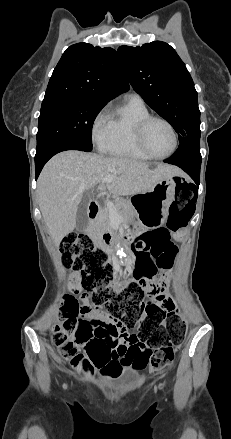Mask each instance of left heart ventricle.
<instances>
[{
	"label": "left heart ventricle",
	"instance_id": "left-heart-ventricle-1",
	"mask_svg": "<svg viewBox=\"0 0 231 439\" xmlns=\"http://www.w3.org/2000/svg\"><path fill=\"white\" fill-rule=\"evenodd\" d=\"M146 141L156 155L167 154L173 147V135L168 126L160 121L150 124L146 133Z\"/></svg>",
	"mask_w": 231,
	"mask_h": 439
}]
</instances>
